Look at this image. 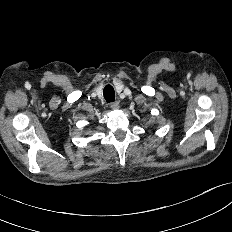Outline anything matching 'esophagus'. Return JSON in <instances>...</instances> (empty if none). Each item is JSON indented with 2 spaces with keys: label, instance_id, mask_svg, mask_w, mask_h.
<instances>
[{
  "label": "esophagus",
  "instance_id": "1",
  "mask_svg": "<svg viewBox=\"0 0 232 232\" xmlns=\"http://www.w3.org/2000/svg\"><path fill=\"white\" fill-rule=\"evenodd\" d=\"M111 109L116 110L119 109L120 105L118 101H114L110 104Z\"/></svg>",
  "mask_w": 232,
  "mask_h": 232
}]
</instances>
